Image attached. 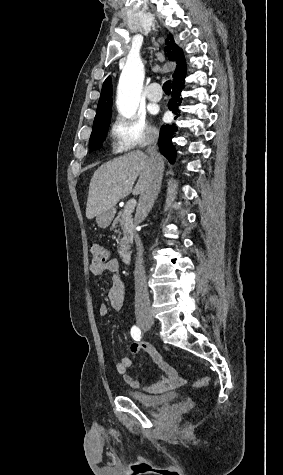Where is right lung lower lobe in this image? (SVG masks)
<instances>
[{"instance_id":"1","label":"right lung lower lobe","mask_w":283,"mask_h":475,"mask_svg":"<svg viewBox=\"0 0 283 475\" xmlns=\"http://www.w3.org/2000/svg\"><path fill=\"white\" fill-rule=\"evenodd\" d=\"M186 73V72H185ZM185 73L177 76L173 79L172 85V98L168 103V108L172 110L176 115H179L178 106L181 104L182 98H180L181 90L184 88V78ZM178 131L177 126L174 125H163L160 129L159 137V148L160 152L169 160V162L174 163L176 157V150L173 146L171 139L175 136V133Z\"/></svg>"}]
</instances>
